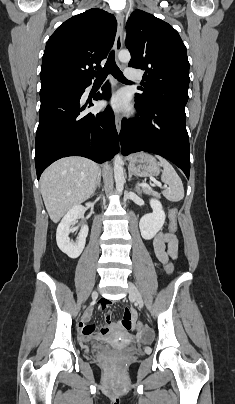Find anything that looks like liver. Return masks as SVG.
Here are the masks:
<instances>
[{"label":"liver","mask_w":235,"mask_h":404,"mask_svg":"<svg viewBox=\"0 0 235 404\" xmlns=\"http://www.w3.org/2000/svg\"><path fill=\"white\" fill-rule=\"evenodd\" d=\"M100 172L97 163L78 156L62 158L43 172L40 190L54 223L93 194Z\"/></svg>","instance_id":"liver-1"}]
</instances>
